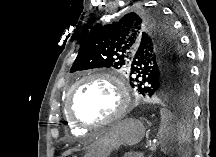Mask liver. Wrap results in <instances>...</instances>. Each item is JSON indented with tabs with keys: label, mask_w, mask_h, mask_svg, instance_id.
<instances>
[{
	"label": "liver",
	"mask_w": 216,
	"mask_h": 157,
	"mask_svg": "<svg viewBox=\"0 0 216 157\" xmlns=\"http://www.w3.org/2000/svg\"><path fill=\"white\" fill-rule=\"evenodd\" d=\"M71 152H72V150L66 151L63 155H64V156H68Z\"/></svg>",
	"instance_id": "6515ba94"
}]
</instances>
